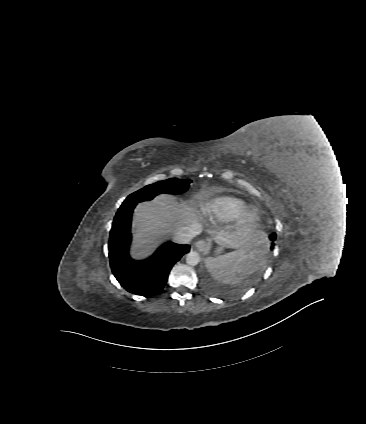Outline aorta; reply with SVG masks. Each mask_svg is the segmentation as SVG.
<instances>
[{
    "label": "aorta",
    "instance_id": "aorta-1",
    "mask_svg": "<svg viewBox=\"0 0 366 424\" xmlns=\"http://www.w3.org/2000/svg\"><path fill=\"white\" fill-rule=\"evenodd\" d=\"M186 262L188 265L195 266L200 262V255L195 251H190L186 255Z\"/></svg>",
    "mask_w": 366,
    "mask_h": 424
}]
</instances>
